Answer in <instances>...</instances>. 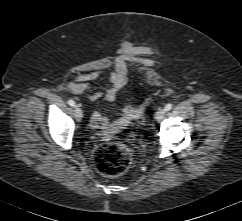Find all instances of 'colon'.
Segmentation results:
<instances>
[{
  "label": "colon",
  "mask_w": 242,
  "mask_h": 221,
  "mask_svg": "<svg viewBox=\"0 0 242 221\" xmlns=\"http://www.w3.org/2000/svg\"><path fill=\"white\" fill-rule=\"evenodd\" d=\"M146 105L136 108H126L125 114L129 118L142 115ZM97 170L104 176L115 178L125 174L133 163L131 151L121 143H102L94 154Z\"/></svg>",
  "instance_id": "colon-1"
}]
</instances>
